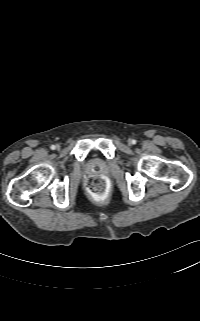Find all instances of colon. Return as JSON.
<instances>
[{
	"label": "colon",
	"instance_id": "colon-1",
	"mask_svg": "<svg viewBox=\"0 0 200 321\" xmlns=\"http://www.w3.org/2000/svg\"><path fill=\"white\" fill-rule=\"evenodd\" d=\"M86 189L89 195L97 201H102L108 193V182L104 176H92L86 181Z\"/></svg>",
	"mask_w": 200,
	"mask_h": 321
}]
</instances>
